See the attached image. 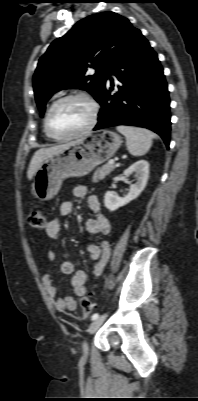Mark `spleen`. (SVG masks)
<instances>
[{"label":"spleen","instance_id":"obj_1","mask_svg":"<svg viewBox=\"0 0 198 401\" xmlns=\"http://www.w3.org/2000/svg\"><path fill=\"white\" fill-rule=\"evenodd\" d=\"M117 131L126 137V145L133 156L145 155L152 146L153 139L157 136L143 128L131 126H117Z\"/></svg>","mask_w":198,"mask_h":401}]
</instances>
